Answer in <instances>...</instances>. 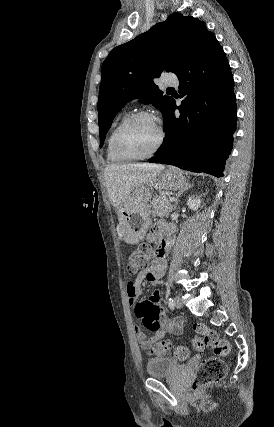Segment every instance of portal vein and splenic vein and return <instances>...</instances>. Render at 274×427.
<instances>
[{
  "instance_id": "portal-vein-and-splenic-vein-1",
  "label": "portal vein and splenic vein",
  "mask_w": 274,
  "mask_h": 427,
  "mask_svg": "<svg viewBox=\"0 0 274 427\" xmlns=\"http://www.w3.org/2000/svg\"><path fill=\"white\" fill-rule=\"evenodd\" d=\"M175 198H171V202H174Z\"/></svg>"
}]
</instances>
